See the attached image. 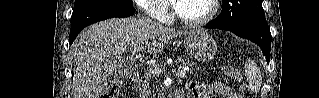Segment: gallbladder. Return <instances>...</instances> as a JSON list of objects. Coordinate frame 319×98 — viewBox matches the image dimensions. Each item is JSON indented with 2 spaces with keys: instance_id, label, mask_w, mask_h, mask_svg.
I'll use <instances>...</instances> for the list:
<instances>
[{
  "instance_id": "1",
  "label": "gallbladder",
  "mask_w": 319,
  "mask_h": 98,
  "mask_svg": "<svg viewBox=\"0 0 319 98\" xmlns=\"http://www.w3.org/2000/svg\"><path fill=\"white\" fill-rule=\"evenodd\" d=\"M115 67V65L114 64H112V68H114Z\"/></svg>"
}]
</instances>
